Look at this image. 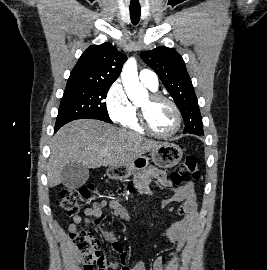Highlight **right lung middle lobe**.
I'll return each mask as SVG.
<instances>
[{
	"instance_id": "dd1d6c3e",
	"label": "right lung middle lobe",
	"mask_w": 267,
	"mask_h": 270,
	"mask_svg": "<svg viewBox=\"0 0 267 270\" xmlns=\"http://www.w3.org/2000/svg\"><path fill=\"white\" fill-rule=\"evenodd\" d=\"M112 84L67 83L58 111L56 125L76 119H97L108 123L106 103L107 92Z\"/></svg>"
}]
</instances>
